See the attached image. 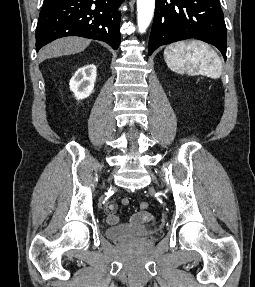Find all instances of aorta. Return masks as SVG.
Segmentation results:
<instances>
[{
    "instance_id": "762f6f07",
    "label": "aorta",
    "mask_w": 255,
    "mask_h": 287,
    "mask_svg": "<svg viewBox=\"0 0 255 287\" xmlns=\"http://www.w3.org/2000/svg\"><path fill=\"white\" fill-rule=\"evenodd\" d=\"M155 0H137V23L141 33L149 26L154 12Z\"/></svg>"
}]
</instances>
